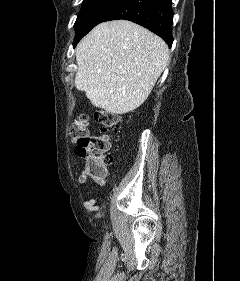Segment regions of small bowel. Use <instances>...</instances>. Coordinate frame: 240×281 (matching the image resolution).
<instances>
[{
	"label": "small bowel",
	"mask_w": 240,
	"mask_h": 281,
	"mask_svg": "<svg viewBox=\"0 0 240 281\" xmlns=\"http://www.w3.org/2000/svg\"><path fill=\"white\" fill-rule=\"evenodd\" d=\"M105 175H106V173L103 174V175H100V176L89 174L83 168L81 173H80V175H79V177H78V182L80 184H84V183H86V182L91 180L94 183H96L97 185L104 187V186L107 185V181L105 179ZM84 206H85V208H87L90 211H99L100 210V207L95 205L94 199H90L89 201L85 202Z\"/></svg>",
	"instance_id": "small-bowel-1"
}]
</instances>
